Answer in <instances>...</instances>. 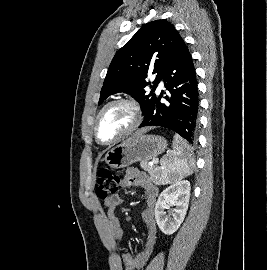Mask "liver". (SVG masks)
Segmentation results:
<instances>
[{"label":"liver","mask_w":267,"mask_h":270,"mask_svg":"<svg viewBox=\"0 0 267 270\" xmlns=\"http://www.w3.org/2000/svg\"><path fill=\"white\" fill-rule=\"evenodd\" d=\"M150 129H151V128H143V129L137 131V132L133 135V137H131L130 139L136 138V137H138V136H140V135L146 133V132H147L148 130H150Z\"/></svg>","instance_id":"1"}]
</instances>
